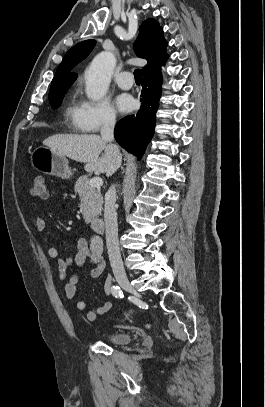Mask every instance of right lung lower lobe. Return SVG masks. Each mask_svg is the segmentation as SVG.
<instances>
[{"label": "right lung lower lobe", "instance_id": "obj_1", "mask_svg": "<svg viewBox=\"0 0 265 407\" xmlns=\"http://www.w3.org/2000/svg\"><path fill=\"white\" fill-rule=\"evenodd\" d=\"M168 58L165 55L152 68L144 72L141 91V107L134 116L121 119L116 127L114 136L117 142L127 151L141 158L146 144L154 134L156 111L161 96L162 77L161 66Z\"/></svg>", "mask_w": 265, "mask_h": 407}]
</instances>
